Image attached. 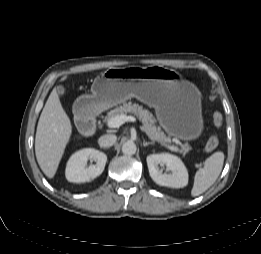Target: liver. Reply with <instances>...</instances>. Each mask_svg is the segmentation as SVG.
Segmentation results:
<instances>
[{"instance_id":"obj_1","label":"liver","mask_w":261,"mask_h":254,"mask_svg":"<svg viewBox=\"0 0 261 254\" xmlns=\"http://www.w3.org/2000/svg\"><path fill=\"white\" fill-rule=\"evenodd\" d=\"M66 79L64 76L61 81ZM71 134V121L61 105L57 88H54L41 112L35 136L37 162L50 179L57 172Z\"/></svg>"}]
</instances>
